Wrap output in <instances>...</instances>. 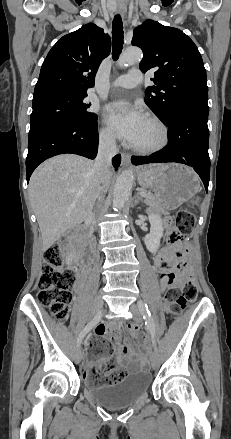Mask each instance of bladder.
<instances>
[{
  "label": "bladder",
  "mask_w": 231,
  "mask_h": 439,
  "mask_svg": "<svg viewBox=\"0 0 231 439\" xmlns=\"http://www.w3.org/2000/svg\"><path fill=\"white\" fill-rule=\"evenodd\" d=\"M152 383L149 372L139 370L130 373L124 381L115 385L90 386L92 397L105 407L117 409L133 404L144 395Z\"/></svg>",
  "instance_id": "obj_1"
}]
</instances>
